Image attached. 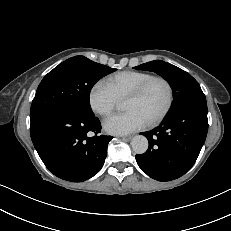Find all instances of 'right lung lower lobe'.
<instances>
[{"label": "right lung lower lobe", "instance_id": "98d812e1", "mask_svg": "<svg viewBox=\"0 0 231 231\" xmlns=\"http://www.w3.org/2000/svg\"><path fill=\"white\" fill-rule=\"evenodd\" d=\"M95 115L62 108L30 126L31 139L41 160L55 176L72 182L93 177L102 168L111 136L98 135ZM95 135L88 137V133Z\"/></svg>", "mask_w": 231, "mask_h": 231}]
</instances>
